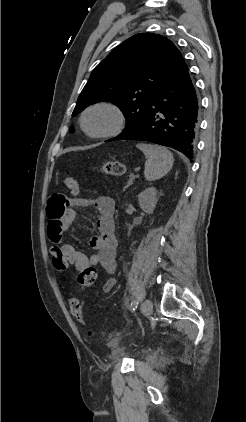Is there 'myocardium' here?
<instances>
[{"mask_svg":"<svg viewBox=\"0 0 246 422\" xmlns=\"http://www.w3.org/2000/svg\"><path fill=\"white\" fill-rule=\"evenodd\" d=\"M96 109H106L110 111L113 114L114 121H113V124L108 129L101 132L94 133V132H91L86 127L85 120H86V116L91 111L96 110ZM125 124H126V118L122 109L118 105L109 101H100V102H96L89 105L88 107L84 109L80 117V127L82 131L87 136L91 138H95V139H103V138H110V137L116 136L119 133H121V131L125 127Z\"/></svg>","mask_w":246,"mask_h":422,"instance_id":"1","label":"myocardium"}]
</instances>
